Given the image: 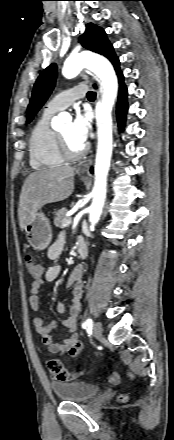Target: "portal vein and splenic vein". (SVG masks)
I'll use <instances>...</instances> for the list:
<instances>
[{"label": "portal vein and splenic vein", "mask_w": 174, "mask_h": 440, "mask_svg": "<svg viewBox=\"0 0 174 440\" xmlns=\"http://www.w3.org/2000/svg\"><path fill=\"white\" fill-rule=\"evenodd\" d=\"M71 224V220L70 219H65L63 220L62 226L63 227H67Z\"/></svg>", "instance_id": "obj_1"}]
</instances>
